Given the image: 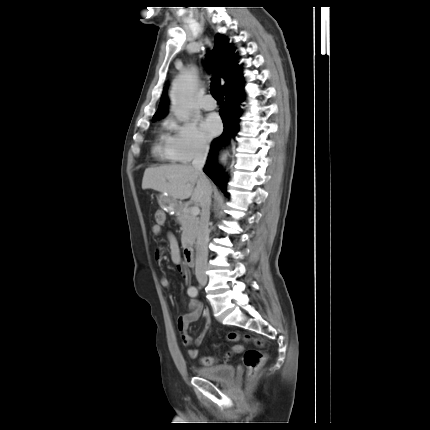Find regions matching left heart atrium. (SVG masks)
I'll return each instance as SVG.
<instances>
[{
	"label": "left heart atrium",
	"instance_id": "obj_1",
	"mask_svg": "<svg viewBox=\"0 0 430 430\" xmlns=\"http://www.w3.org/2000/svg\"><path fill=\"white\" fill-rule=\"evenodd\" d=\"M221 128L219 118L215 114L206 116L201 122V130L207 139L216 136Z\"/></svg>",
	"mask_w": 430,
	"mask_h": 430
}]
</instances>
